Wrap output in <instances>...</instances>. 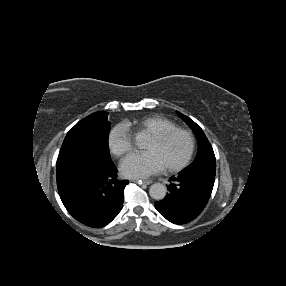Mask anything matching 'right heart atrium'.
<instances>
[{
  "label": "right heart atrium",
  "instance_id": "d8ad5b80",
  "mask_svg": "<svg viewBox=\"0 0 286 286\" xmlns=\"http://www.w3.org/2000/svg\"><path fill=\"white\" fill-rule=\"evenodd\" d=\"M107 145L110 152L116 157H123L133 150V141L123 125H116L110 129L107 136Z\"/></svg>",
  "mask_w": 286,
  "mask_h": 286
}]
</instances>
